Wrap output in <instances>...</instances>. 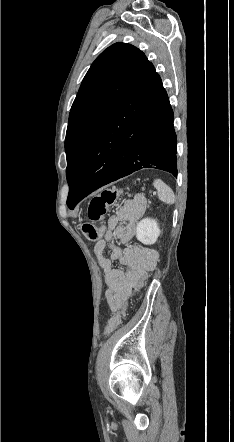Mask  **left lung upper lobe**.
<instances>
[{
	"label": "left lung upper lobe",
	"mask_w": 234,
	"mask_h": 442,
	"mask_svg": "<svg viewBox=\"0 0 234 442\" xmlns=\"http://www.w3.org/2000/svg\"><path fill=\"white\" fill-rule=\"evenodd\" d=\"M148 63L142 51L126 43L111 45L92 63L69 115L65 138L68 197L77 186L93 139Z\"/></svg>",
	"instance_id": "left-lung-upper-lobe-1"
}]
</instances>
